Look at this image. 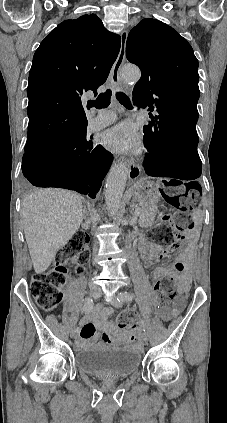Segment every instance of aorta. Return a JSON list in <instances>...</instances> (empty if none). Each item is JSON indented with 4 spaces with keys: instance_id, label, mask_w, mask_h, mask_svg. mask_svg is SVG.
Masks as SVG:
<instances>
[{
    "instance_id": "obj_1",
    "label": "aorta",
    "mask_w": 227,
    "mask_h": 423,
    "mask_svg": "<svg viewBox=\"0 0 227 423\" xmlns=\"http://www.w3.org/2000/svg\"><path fill=\"white\" fill-rule=\"evenodd\" d=\"M122 79L125 82H137L140 79V71L134 66H125L122 70ZM127 179V167L123 163L113 164L107 175L105 185V203L112 217L119 215L120 202L125 189Z\"/></svg>"
}]
</instances>
